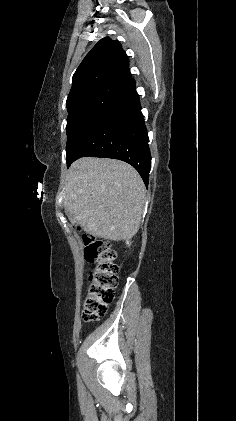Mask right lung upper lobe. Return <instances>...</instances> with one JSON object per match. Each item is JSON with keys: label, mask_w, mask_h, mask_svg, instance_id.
<instances>
[{"label": "right lung upper lobe", "mask_w": 236, "mask_h": 421, "mask_svg": "<svg viewBox=\"0 0 236 421\" xmlns=\"http://www.w3.org/2000/svg\"><path fill=\"white\" fill-rule=\"evenodd\" d=\"M130 77L125 51L117 41L105 37L90 50L75 71L68 98L90 89L122 86Z\"/></svg>", "instance_id": "right-lung-upper-lobe-1"}]
</instances>
